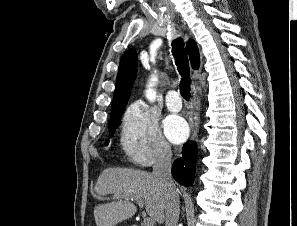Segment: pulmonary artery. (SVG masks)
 Instances as JSON below:
<instances>
[{"label": "pulmonary artery", "instance_id": "pulmonary-artery-1", "mask_svg": "<svg viewBox=\"0 0 297 226\" xmlns=\"http://www.w3.org/2000/svg\"><path fill=\"white\" fill-rule=\"evenodd\" d=\"M165 102L167 108L173 112L179 111L182 107V102L179 94L175 90H171L167 93Z\"/></svg>", "mask_w": 297, "mask_h": 226}]
</instances>
